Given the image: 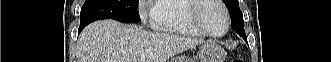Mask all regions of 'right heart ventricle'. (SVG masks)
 Here are the masks:
<instances>
[{
	"label": "right heart ventricle",
	"instance_id": "right-heart-ventricle-1",
	"mask_svg": "<svg viewBox=\"0 0 331 62\" xmlns=\"http://www.w3.org/2000/svg\"><path fill=\"white\" fill-rule=\"evenodd\" d=\"M190 0H160L151 17L160 31L200 38V34L188 20Z\"/></svg>",
	"mask_w": 331,
	"mask_h": 62
}]
</instances>
